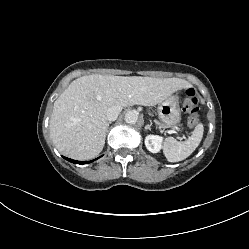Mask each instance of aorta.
I'll return each mask as SVG.
<instances>
[{"mask_svg":"<svg viewBox=\"0 0 249 249\" xmlns=\"http://www.w3.org/2000/svg\"><path fill=\"white\" fill-rule=\"evenodd\" d=\"M125 122L128 124H135L138 120V113L136 111H128L125 114Z\"/></svg>","mask_w":249,"mask_h":249,"instance_id":"1","label":"aorta"}]
</instances>
